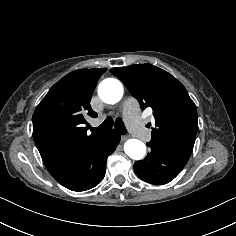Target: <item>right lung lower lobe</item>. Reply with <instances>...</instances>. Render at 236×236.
Returning a JSON list of instances; mask_svg holds the SVG:
<instances>
[{
  "instance_id": "right-lung-lower-lobe-1",
  "label": "right lung lower lobe",
  "mask_w": 236,
  "mask_h": 236,
  "mask_svg": "<svg viewBox=\"0 0 236 236\" xmlns=\"http://www.w3.org/2000/svg\"><path fill=\"white\" fill-rule=\"evenodd\" d=\"M115 130L95 140L67 150L44 162L50 174L72 191H85L98 185L105 176L106 161L120 141Z\"/></svg>"
}]
</instances>
